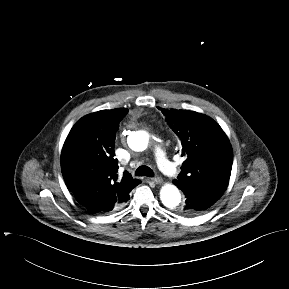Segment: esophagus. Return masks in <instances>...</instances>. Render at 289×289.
<instances>
[{
    "label": "esophagus",
    "mask_w": 289,
    "mask_h": 289,
    "mask_svg": "<svg viewBox=\"0 0 289 289\" xmlns=\"http://www.w3.org/2000/svg\"><path fill=\"white\" fill-rule=\"evenodd\" d=\"M151 181L156 184H161L163 182L162 178L160 177H153L151 178Z\"/></svg>",
    "instance_id": "obj_1"
}]
</instances>
